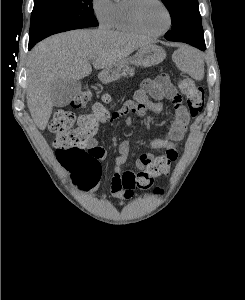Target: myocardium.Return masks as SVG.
Returning a JSON list of instances; mask_svg holds the SVG:
<instances>
[{"instance_id":"obj_1","label":"myocardium","mask_w":245,"mask_h":300,"mask_svg":"<svg viewBox=\"0 0 245 300\" xmlns=\"http://www.w3.org/2000/svg\"><path fill=\"white\" fill-rule=\"evenodd\" d=\"M147 1L148 0H133L131 9H130L132 21L135 24V26L142 33L149 35V36H160V35L166 33L172 25L171 11L163 0H153L154 2L158 3L164 9V11L167 15L168 21H167L166 27L163 30L157 31V32L150 31L145 27L143 20H142V8Z\"/></svg>"}]
</instances>
